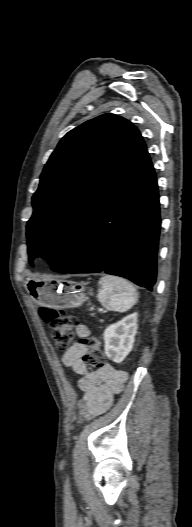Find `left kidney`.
I'll list each match as a JSON object with an SVG mask.
<instances>
[{"mask_svg":"<svg viewBox=\"0 0 192 527\" xmlns=\"http://www.w3.org/2000/svg\"><path fill=\"white\" fill-rule=\"evenodd\" d=\"M137 328V313L108 326L103 334L106 356L116 363L122 362L133 348Z\"/></svg>","mask_w":192,"mask_h":527,"instance_id":"1","label":"left kidney"}]
</instances>
